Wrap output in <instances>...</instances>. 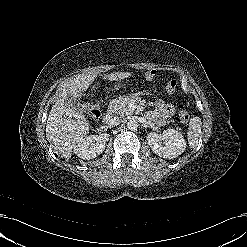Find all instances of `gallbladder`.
I'll return each mask as SVG.
<instances>
[{
    "instance_id": "bac80fb5",
    "label": "gallbladder",
    "mask_w": 247,
    "mask_h": 247,
    "mask_svg": "<svg viewBox=\"0 0 247 247\" xmlns=\"http://www.w3.org/2000/svg\"><path fill=\"white\" fill-rule=\"evenodd\" d=\"M66 101L71 107L82 113H86L89 109L85 103L79 102L72 94L67 96Z\"/></svg>"
}]
</instances>
